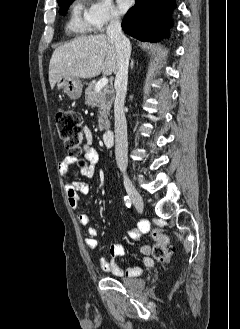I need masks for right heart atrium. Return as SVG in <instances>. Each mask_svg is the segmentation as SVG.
<instances>
[{
    "mask_svg": "<svg viewBox=\"0 0 240 329\" xmlns=\"http://www.w3.org/2000/svg\"><path fill=\"white\" fill-rule=\"evenodd\" d=\"M89 23L96 32H103L119 22V15L110 0H93L87 12Z\"/></svg>",
    "mask_w": 240,
    "mask_h": 329,
    "instance_id": "right-heart-atrium-1",
    "label": "right heart atrium"
}]
</instances>
